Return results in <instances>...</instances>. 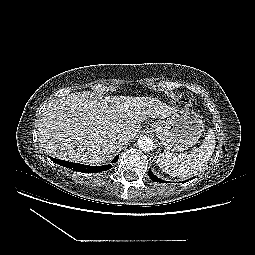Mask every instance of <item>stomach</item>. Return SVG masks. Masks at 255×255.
Here are the masks:
<instances>
[{
  "mask_svg": "<svg viewBox=\"0 0 255 255\" xmlns=\"http://www.w3.org/2000/svg\"><path fill=\"white\" fill-rule=\"evenodd\" d=\"M150 129L155 132L164 151H183L192 147L204 130L201 116L191 110L174 109L162 121L153 122Z\"/></svg>",
  "mask_w": 255,
  "mask_h": 255,
  "instance_id": "1",
  "label": "stomach"
}]
</instances>
